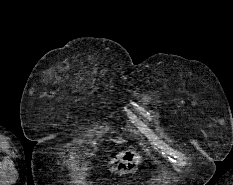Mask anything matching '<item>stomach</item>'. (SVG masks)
Wrapping results in <instances>:
<instances>
[{"label":"stomach","instance_id":"obj_1","mask_svg":"<svg viewBox=\"0 0 233 185\" xmlns=\"http://www.w3.org/2000/svg\"><path fill=\"white\" fill-rule=\"evenodd\" d=\"M141 156L134 150L116 154L108 164L109 169L117 174H132L141 163Z\"/></svg>","mask_w":233,"mask_h":185}]
</instances>
